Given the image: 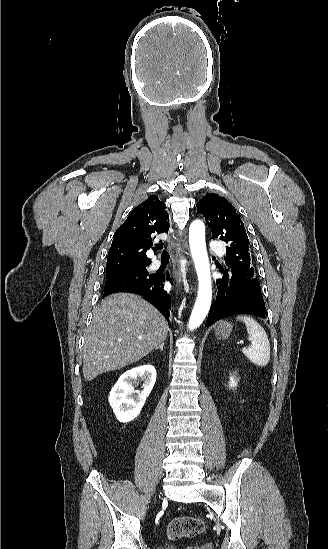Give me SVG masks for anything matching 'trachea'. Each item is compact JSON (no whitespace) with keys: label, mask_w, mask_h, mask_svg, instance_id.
I'll return each mask as SVG.
<instances>
[{"label":"trachea","mask_w":328,"mask_h":549,"mask_svg":"<svg viewBox=\"0 0 328 549\" xmlns=\"http://www.w3.org/2000/svg\"><path fill=\"white\" fill-rule=\"evenodd\" d=\"M163 248V245L162 244H159V245H156L154 247V250H160ZM162 255H169L168 252L166 250H164L163 254Z\"/></svg>","instance_id":"1"}]
</instances>
